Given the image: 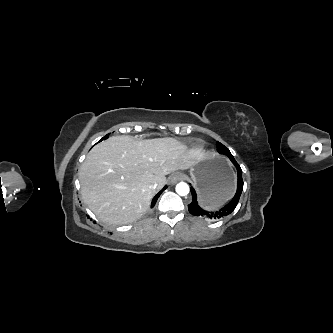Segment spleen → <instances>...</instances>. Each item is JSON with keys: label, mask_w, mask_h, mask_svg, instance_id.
Listing matches in <instances>:
<instances>
[{"label": "spleen", "mask_w": 333, "mask_h": 333, "mask_svg": "<svg viewBox=\"0 0 333 333\" xmlns=\"http://www.w3.org/2000/svg\"><path fill=\"white\" fill-rule=\"evenodd\" d=\"M231 197H229L228 199H226L224 202H222L220 205H223L227 200H229ZM220 205H218V206H220ZM218 206H216V207H218Z\"/></svg>", "instance_id": "1"}]
</instances>
